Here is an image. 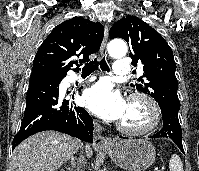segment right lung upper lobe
<instances>
[{
  "label": "right lung upper lobe",
  "instance_id": "obj_1",
  "mask_svg": "<svg viewBox=\"0 0 199 171\" xmlns=\"http://www.w3.org/2000/svg\"><path fill=\"white\" fill-rule=\"evenodd\" d=\"M103 36L104 27L100 23L82 17L64 21L52 30L38 49L31 76H66L74 63L79 67L71 58L82 56L80 64L88 62L89 55L99 50Z\"/></svg>",
  "mask_w": 199,
  "mask_h": 171
}]
</instances>
